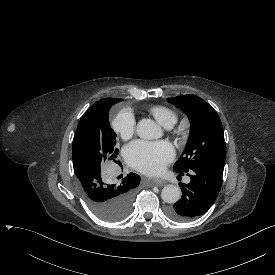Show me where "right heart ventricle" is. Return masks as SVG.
<instances>
[{
  "label": "right heart ventricle",
  "mask_w": 275,
  "mask_h": 275,
  "mask_svg": "<svg viewBox=\"0 0 275 275\" xmlns=\"http://www.w3.org/2000/svg\"><path fill=\"white\" fill-rule=\"evenodd\" d=\"M150 113L165 128L172 127L177 121L176 114L165 106H154L150 109Z\"/></svg>",
  "instance_id": "e07e8e85"
}]
</instances>
